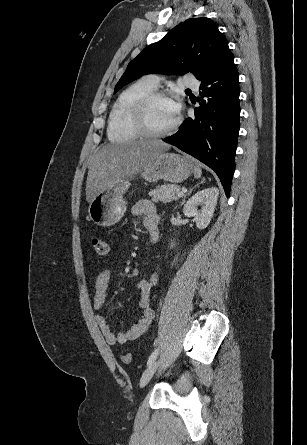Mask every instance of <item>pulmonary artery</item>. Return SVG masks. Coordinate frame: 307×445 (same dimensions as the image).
Masks as SVG:
<instances>
[{"label": "pulmonary artery", "instance_id": "pulmonary-artery-1", "mask_svg": "<svg viewBox=\"0 0 307 445\" xmlns=\"http://www.w3.org/2000/svg\"><path fill=\"white\" fill-rule=\"evenodd\" d=\"M148 84L156 88L159 84L158 79H149ZM200 83L199 81H193V78L191 75H182L180 78V81L178 82V89L179 90H199Z\"/></svg>", "mask_w": 307, "mask_h": 445}]
</instances>
